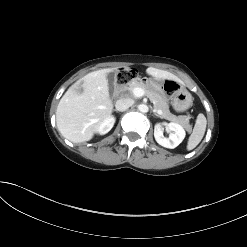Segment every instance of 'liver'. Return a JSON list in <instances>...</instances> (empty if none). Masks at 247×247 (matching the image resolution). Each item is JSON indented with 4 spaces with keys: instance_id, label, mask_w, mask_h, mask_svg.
<instances>
[{
    "instance_id": "liver-1",
    "label": "liver",
    "mask_w": 247,
    "mask_h": 247,
    "mask_svg": "<svg viewBox=\"0 0 247 247\" xmlns=\"http://www.w3.org/2000/svg\"><path fill=\"white\" fill-rule=\"evenodd\" d=\"M114 70L107 68L90 72L62 96L56 110V124L63 137L74 143L89 141L99 123L111 115L113 103L106 74ZM146 73L156 80L182 83L181 79L165 70L149 67ZM79 88L83 91L79 92Z\"/></svg>"
}]
</instances>
